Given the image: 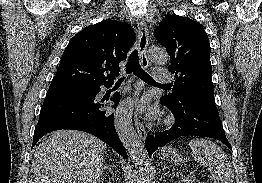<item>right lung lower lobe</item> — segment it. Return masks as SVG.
<instances>
[{"label": "right lung lower lobe", "mask_w": 262, "mask_h": 183, "mask_svg": "<svg viewBox=\"0 0 262 183\" xmlns=\"http://www.w3.org/2000/svg\"><path fill=\"white\" fill-rule=\"evenodd\" d=\"M112 83L48 90L35 127L32 147L51 131L81 130L100 138L126 159L127 153L114 127V113L107 111V105L96 99L101 90L100 86L109 88ZM110 100L116 107L120 101V94L114 93Z\"/></svg>", "instance_id": "1"}]
</instances>
